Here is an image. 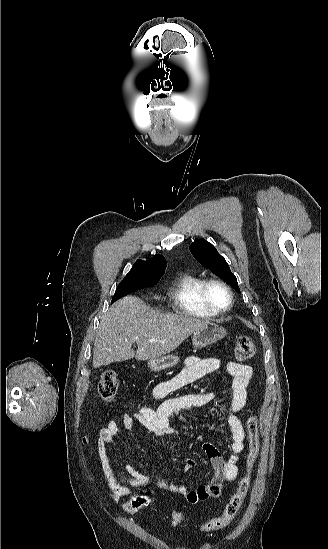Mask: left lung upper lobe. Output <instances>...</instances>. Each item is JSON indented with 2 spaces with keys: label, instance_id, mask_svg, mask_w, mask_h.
I'll return each mask as SVG.
<instances>
[{
  "label": "left lung upper lobe",
  "instance_id": "obj_1",
  "mask_svg": "<svg viewBox=\"0 0 328 549\" xmlns=\"http://www.w3.org/2000/svg\"><path fill=\"white\" fill-rule=\"evenodd\" d=\"M190 251L195 259L204 267L211 270L222 280L230 284L235 290L240 291L237 279L231 272L225 258L222 257L216 248L203 239L194 241L190 246Z\"/></svg>",
  "mask_w": 328,
  "mask_h": 549
}]
</instances>
